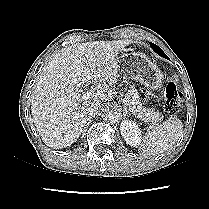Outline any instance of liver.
Listing matches in <instances>:
<instances>
[{
  "label": "liver",
  "instance_id": "liver-1",
  "mask_svg": "<svg viewBox=\"0 0 209 209\" xmlns=\"http://www.w3.org/2000/svg\"><path fill=\"white\" fill-rule=\"evenodd\" d=\"M130 40L92 41L61 49L44 67L32 96L33 122L42 141L62 149L77 141L87 122V106L116 97L117 55ZM96 82L91 100L79 88Z\"/></svg>",
  "mask_w": 209,
  "mask_h": 209
}]
</instances>
